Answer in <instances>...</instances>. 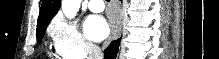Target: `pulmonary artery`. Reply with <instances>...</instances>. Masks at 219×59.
Segmentation results:
<instances>
[{
    "label": "pulmonary artery",
    "mask_w": 219,
    "mask_h": 59,
    "mask_svg": "<svg viewBox=\"0 0 219 59\" xmlns=\"http://www.w3.org/2000/svg\"><path fill=\"white\" fill-rule=\"evenodd\" d=\"M88 7L92 12H102L105 8L102 0H90L88 1Z\"/></svg>",
    "instance_id": "pulmonary-artery-1"
}]
</instances>
